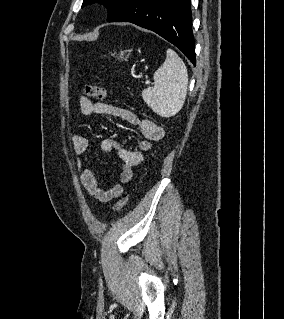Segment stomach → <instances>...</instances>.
Returning <instances> with one entry per match:
<instances>
[{"label": "stomach", "instance_id": "stomach-1", "mask_svg": "<svg viewBox=\"0 0 284 319\" xmlns=\"http://www.w3.org/2000/svg\"><path fill=\"white\" fill-rule=\"evenodd\" d=\"M127 51H120V53L118 54V58L120 59V60H125V61H127V59L129 58V53L126 55L125 53H126Z\"/></svg>", "mask_w": 284, "mask_h": 319}]
</instances>
